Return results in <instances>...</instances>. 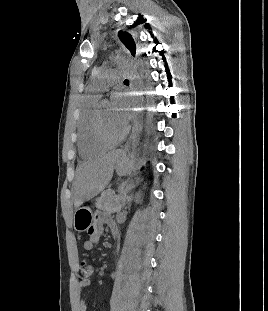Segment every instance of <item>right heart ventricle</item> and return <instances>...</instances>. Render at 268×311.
I'll return each mask as SVG.
<instances>
[{
  "instance_id": "e07e8e85",
  "label": "right heart ventricle",
  "mask_w": 268,
  "mask_h": 311,
  "mask_svg": "<svg viewBox=\"0 0 268 311\" xmlns=\"http://www.w3.org/2000/svg\"><path fill=\"white\" fill-rule=\"evenodd\" d=\"M99 96L90 94L84 97L78 114V150L83 158L94 157L109 146L99 142L94 133V117Z\"/></svg>"
}]
</instances>
